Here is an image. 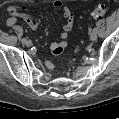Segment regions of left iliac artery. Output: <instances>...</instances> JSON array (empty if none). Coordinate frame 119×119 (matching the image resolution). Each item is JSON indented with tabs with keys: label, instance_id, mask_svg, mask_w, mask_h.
I'll list each match as a JSON object with an SVG mask.
<instances>
[{
	"label": "left iliac artery",
	"instance_id": "44dca946",
	"mask_svg": "<svg viewBox=\"0 0 119 119\" xmlns=\"http://www.w3.org/2000/svg\"><path fill=\"white\" fill-rule=\"evenodd\" d=\"M93 32H97V28H94V29H93Z\"/></svg>",
	"mask_w": 119,
	"mask_h": 119
}]
</instances>
